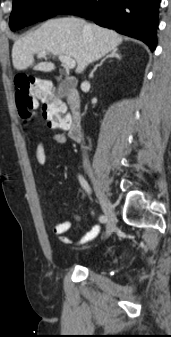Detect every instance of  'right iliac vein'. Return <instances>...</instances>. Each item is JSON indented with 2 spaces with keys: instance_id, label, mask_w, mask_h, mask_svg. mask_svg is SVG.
<instances>
[{
  "instance_id": "obj_1",
  "label": "right iliac vein",
  "mask_w": 171,
  "mask_h": 337,
  "mask_svg": "<svg viewBox=\"0 0 171 337\" xmlns=\"http://www.w3.org/2000/svg\"><path fill=\"white\" fill-rule=\"evenodd\" d=\"M89 175L95 185V189H96V193L97 196L99 198L102 210L107 218V236L111 235L115 228H116V216H115V212H114V208L112 206V204L110 203V201L108 200V198L106 197V195L104 194V192L102 191V189L100 188L96 178L94 177L93 172L89 169L88 170Z\"/></svg>"
}]
</instances>
